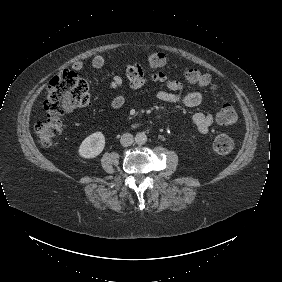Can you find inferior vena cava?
<instances>
[{
    "label": "inferior vena cava",
    "instance_id": "obj_1",
    "mask_svg": "<svg viewBox=\"0 0 282 282\" xmlns=\"http://www.w3.org/2000/svg\"><path fill=\"white\" fill-rule=\"evenodd\" d=\"M133 142H134V138H133V135L130 133H124L120 138V144L123 147H128L132 145Z\"/></svg>",
    "mask_w": 282,
    "mask_h": 282
}]
</instances>
